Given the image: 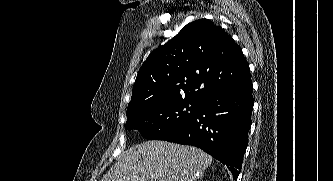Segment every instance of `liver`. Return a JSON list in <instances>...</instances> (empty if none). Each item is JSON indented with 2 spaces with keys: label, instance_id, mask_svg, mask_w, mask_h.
Instances as JSON below:
<instances>
[{
  "label": "liver",
  "instance_id": "liver-1",
  "mask_svg": "<svg viewBox=\"0 0 333 181\" xmlns=\"http://www.w3.org/2000/svg\"><path fill=\"white\" fill-rule=\"evenodd\" d=\"M212 160L193 146L146 141L130 148L101 181H196Z\"/></svg>",
  "mask_w": 333,
  "mask_h": 181
}]
</instances>
